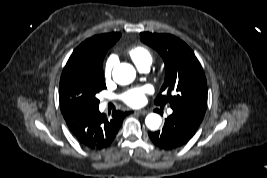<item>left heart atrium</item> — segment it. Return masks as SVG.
Instances as JSON below:
<instances>
[{
    "label": "left heart atrium",
    "mask_w": 267,
    "mask_h": 178,
    "mask_svg": "<svg viewBox=\"0 0 267 178\" xmlns=\"http://www.w3.org/2000/svg\"><path fill=\"white\" fill-rule=\"evenodd\" d=\"M151 91V87L147 85L133 87L123 92L119 98L128 106L139 107L146 102V94L150 93Z\"/></svg>",
    "instance_id": "obj_1"
}]
</instances>
